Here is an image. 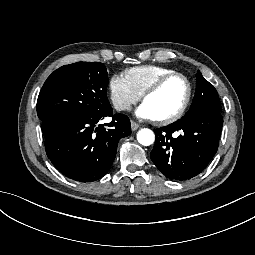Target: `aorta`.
Here are the masks:
<instances>
[{
    "label": "aorta",
    "instance_id": "aorta-1",
    "mask_svg": "<svg viewBox=\"0 0 255 255\" xmlns=\"http://www.w3.org/2000/svg\"><path fill=\"white\" fill-rule=\"evenodd\" d=\"M137 140L141 145L149 146L154 142L155 136L150 129L144 128L137 133Z\"/></svg>",
    "mask_w": 255,
    "mask_h": 255
}]
</instances>
